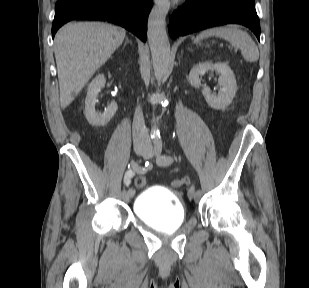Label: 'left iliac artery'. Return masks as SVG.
I'll return each mask as SVG.
<instances>
[{
	"label": "left iliac artery",
	"mask_w": 309,
	"mask_h": 288,
	"mask_svg": "<svg viewBox=\"0 0 309 288\" xmlns=\"http://www.w3.org/2000/svg\"><path fill=\"white\" fill-rule=\"evenodd\" d=\"M155 153H156V163L158 165L167 166L173 162V158L170 155L161 154L163 143L161 138H156L154 140ZM193 190V194L202 195L201 190L194 191V187H191L189 191Z\"/></svg>",
	"instance_id": "left-iliac-artery-1"
}]
</instances>
